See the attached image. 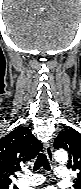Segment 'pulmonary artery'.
Returning a JSON list of instances; mask_svg holds the SVG:
<instances>
[{
    "mask_svg": "<svg viewBox=\"0 0 81 189\" xmlns=\"http://www.w3.org/2000/svg\"><path fill=\"white\" fill-rule=\"evenodd\" d=\"M54 174L59 180H66L69 176L68 170L62 166H56L54 169ZM45 177L40 174H28L19 178V184L29 188L30 186H37L44 182Z\"/></svg>",
    "mask_w": 81,
    "mask_h": 189,
    "instance_id": "obj_1",
    "label": "pulmonary artery"
}]
</instances>
